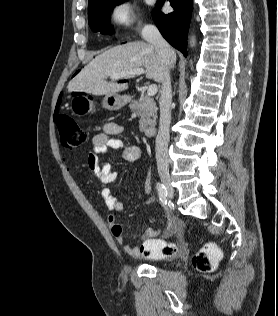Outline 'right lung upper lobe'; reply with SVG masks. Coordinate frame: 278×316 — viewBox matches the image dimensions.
<instances>
[{
  "label": "right lung upper lobe",
  "mask_w": 278,
  "mask_h": 316,
  "mask_svg": "<svg viewBox=\"0 0 278 316\" xmlns=\"http://www.w3.org/2000/svg\"><path fill=\"white\" fill-rule=\"evenodd\" d=\"M103 1H106V0H89L88 10L92 9L97 4H99L100 2H103Z\"/></svg>",
  "instance_id": "right-lung-upper-lobe-1"
}]
</instances>
